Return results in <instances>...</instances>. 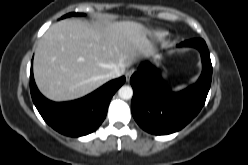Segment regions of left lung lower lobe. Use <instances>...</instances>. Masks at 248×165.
Returning a JSON list of instances; mask_svg holds the SVG:
<instances>
[{
  "label": "left lung lower lobe",
  "instance_id": "left-lung-lower-lobe-1",
  "mask_svg": "<svg viewBox=\"0 0 248 165\" xmlns=\"http://www.w3.org/2000/svg\"><path fill=\"white\" fill-rule=\"evenodd\" d=\"M191 46L201 53L203 71L194 85L183 91L171 92L160 73L151 64L144 63L135 72L130 83L133 87L131 111L138 125L145 131L166 135L182 129L203 107L212 79V64L205 41L195 38L178 47Z\"/></svg>",
  "mask_w": 248,
  "mask_h": 165
}]
</instances>
